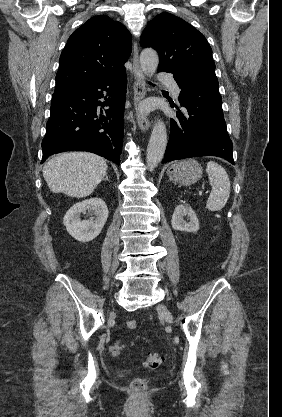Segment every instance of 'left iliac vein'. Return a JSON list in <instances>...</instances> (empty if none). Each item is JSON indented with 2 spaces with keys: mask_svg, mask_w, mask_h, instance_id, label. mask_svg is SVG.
<instances>
[{
  "mask_svg": "<svg viewBox=\"0 0 282 417\" xmlns=\"http://www.w3.org/2000/svg\"><path fill=\"white\" fill-rule=\"evenodd\" d=\"M157 310L164 317V319L168 323H172L173 322V316H172V314L170 313V311L167 309V307L165 305L159 304L157 306Z\"/></svg>",
  "mask_w": 282,
  "mask_h": 417,
  "instance_id": "4c4485c4",
  "label": "left iliac vein"
}]
</instances>
